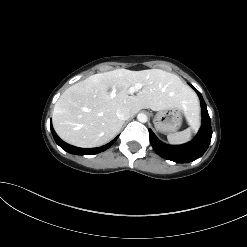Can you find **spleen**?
Segmentation results:
<instances>
[{
    "label": "spleen",
    "mask_w": 247,
    "mask_h": 247,
    "mask_svg": "<svg viewBox=\"0 0 247 247\" xmlns=\"http://www.w3.org/2000/svg\"><path fill=\"white\" fill-rule=\"evenodd\" d=\"M189 115H190V118H187V120L189 124L191 125V127L181 132L168 134L167 139L170 144L180 145V144L187 143L191 140L192 131L199 123V111L196 109L195 111L191 112Z\"/></svg>",
    "instance_id": "spleen-1"
}]
</instances>
